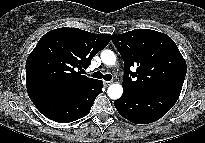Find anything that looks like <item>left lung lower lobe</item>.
Listing matches in <instances>:
<instances>
[{
  "mask_svg": "<svg viewBox=\"0 0 205 143\" xmlns=\"http://www.w3.org/2000/svg\"><path fill=\"white\" fill-rule=\"evenodd\" d=\"M180 87H166L145 92L123 89V95L114 101L119 114L135 124L155 122L166 114L176 103Z\"/></svg>",
  "mask_w": 205,
  "mask_h": 143,
  "instance_id": "0a47b994",
  "label": "left lung lower lobe"
}]
</instances>
